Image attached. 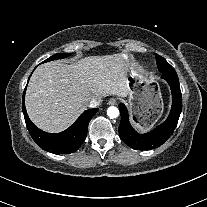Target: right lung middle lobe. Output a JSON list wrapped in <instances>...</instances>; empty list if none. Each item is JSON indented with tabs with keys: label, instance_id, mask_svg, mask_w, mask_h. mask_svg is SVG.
<instances>
[{
	"label": "right lung middle lobe",
	"instance_id": "obj_1",
	"mask_svg": "<svg viewBox=\"0 0 207 207\" xmlns=\"http://www.w3.org/2000/svg\"><path fill=\"white\" fill-rule=\"evenodd\" d=\"M69 55H70V53H58V54H55V55L51 56L50 58L46 59L42 63L48 62V61H51V60H55V59L65 58V57H68Z\"/></svg>",
	"mask_w": 207,
	"mask_h": 207
}]
</instances>
